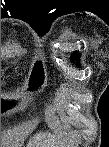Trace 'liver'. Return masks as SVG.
Masks as SVG:
<instances>
[{
    "mask_svg": "<svg viewBox=\"0 0 109 147\" xmlns=\"http://www.w3.org/2000/svg\"><path fill=\"white\" fill-rule=\"evenodd\" d=\"M74 140L73 135L67 138V133L58 137H47L46 134L40 133L28 143L27 147H73Z\"/></svg>",
    "mask_w": 109,
    "mask_h": 147,
    "instance_id": "1",
    "label": "liver"
}]
</instances>
